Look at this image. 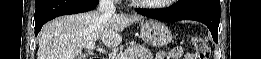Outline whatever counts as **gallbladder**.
Returning <instances> with one entry per match:
<instances>
[{"label": "gallbladder", "mask_w": 261, "mask_h": 59, "mask_svg": "<svg viewBox=\"0 0 261 59\" xmlns=\"http://www.w3.org/2000/svg\"><path fill=\"white\" fill-rule=\"evenodd\" d=\"M77 59H85L84 55H78Z\"/></svg>", "instance_id": "1"}]
</instances>
